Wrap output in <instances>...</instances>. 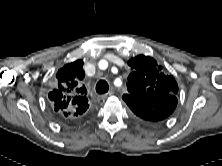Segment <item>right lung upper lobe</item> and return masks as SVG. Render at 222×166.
Masks as SVG:
<instances>
[{"instance_id":"cb5924a9","label":"right lung upper lobe","mask_w":222,"mask_h":166,"mask_svg":"<svg viewBox=\"0 0 222 166\" xmlns=\"http://www.w3.org/2000/svg\"><path fill=\"white\" fill-rule=\"evenodd\" d=\"M84 76L82 60L66 64L58 70L49 98L52 110L61 119L82 118L87 114L86 89L81 86Z\"/></svg>"}]
</instances>
